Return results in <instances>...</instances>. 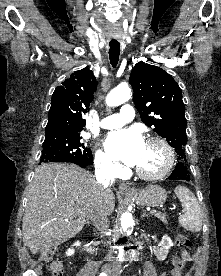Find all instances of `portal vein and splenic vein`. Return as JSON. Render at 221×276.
Masks as SVG:
<instances>
[{"instance_id": "18ae733b", "label": "portal vein and splenic vein", "mask_w": 221, "mask_h": 276, "mask_svg": "<svg viewBox=\"0 0 221 276\" xmlns=\"http://www.w3.org/2000/svg\"><path fill=\"white\" fill-rule=\"evenodd\" d=\"M150 213L156 215V214H158V211L157 210H153Z\"/></svg>"}]
</instances>
